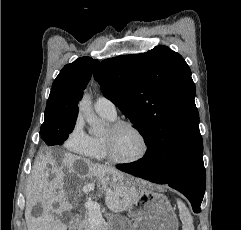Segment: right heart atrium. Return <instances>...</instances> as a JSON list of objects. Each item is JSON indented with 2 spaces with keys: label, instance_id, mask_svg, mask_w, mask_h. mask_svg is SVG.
Returning a JSON list of instances; mask_svg holds the SVG:
<instances>
[{
  "label": "right heart atrium",
  "instance_id": "1",
  "mask_svg": "<svg viewBox=\"0 0 241 230\" xmlns=\"http://www.w3.org/2000/svg\"><path fill=\"white\" fill-rule=\"evenodd\" d=\"M92 146V137L86 133L83 125L77 122L65 140V147L76 154L86 155Z\"/></svg>",
  "mask_w": 241,
  "mask_h": 230
}]
</instances>
